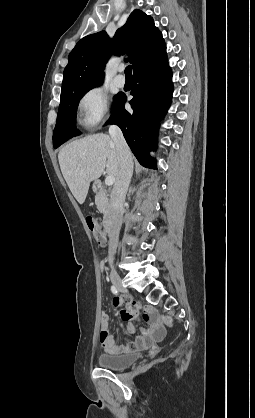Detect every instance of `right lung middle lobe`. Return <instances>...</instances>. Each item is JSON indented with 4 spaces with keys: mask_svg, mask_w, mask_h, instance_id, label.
Instances as JSON below:
<instances>
[{
    "mask_svg": "<svg viewBox=\"0 0 255 418\" xmlns=\"http://www.w3.org/2000/svg\"><path fill=\"white\" fill-rule=\"evenodd\" d=\"M100 84L61 94L56 126L53 132L54 148H58L68 139L80 134L79 130L76 129V115L79 101L91 88ZM116 98L117 95L114 97V102Z\"/></svg>",
    "mask_w": 255,
    "mask_h": 418,
    "instance_id": "1",
    "label": "right lung middle lobe"
}]
</instances>
